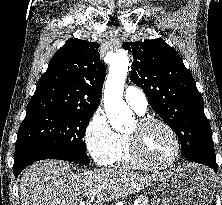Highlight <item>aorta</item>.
I'll use <instances>...</instances> for the list:
<instances>
[{
    "label": "aorta",
    "instance_id": "1",
    "mask_svg": "<svg viewBox=\"0 0 222 205\" xmlns=\"http://www.w3.org/2000/svg\"><path fill=\"white\" fill-rule=\"evenodd\" d=\"M129 59L125 53H117L110 63L104 86V108L110 124L118 131L132 124L134 116L123 100V89L128 72Z\"/></svg>",
    "mask_w": 222,
    "mask_h": 205
}]
</instances>
